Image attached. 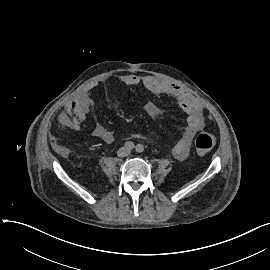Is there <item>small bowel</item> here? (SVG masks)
Listing matches in <instances>:
<instances>
[{"mask_svg": "<svg viewBox=\"0 0 270 270\" xmlns=\"http://www.w3.org/2000/svg\"><path fill=\"white\" fill-rule=\"evenodd\" d=\"M120 82L125 86L142 85L147 91L157 97L169 96L176 100L187 115V124L181 137L173 147L172 153L177 159H185L189 153L194 136L204 128L206 122L202 106L196 98L179 85L155 76L124 75L120 78ZM96 86V83H92L75 100L68 103L66 110L70 117L64 120L65 127L81 130L82 122L88 110V93ZM145 111L152 117L161 114V109L154 103L146 104ZM93 135L106 143H112L115 140L114 133L102 124H97L94 127Z\"/></svg>", "mask_w": 270, "mask_h": 270, "instance_id": "small-bowel-1", "label": "small bowel"}]
</instances>
